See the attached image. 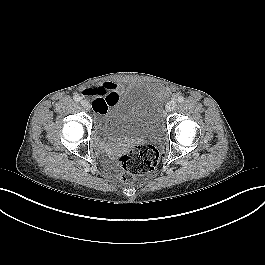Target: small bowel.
<instances>
[{"label":"small bowel","instance_id":"1","mask_svg":"<svg viewBox=\"0 0 265 265\" xmlns=\"http://www.w3.org/2000/svg\"><path fill=\"white\" fill-rule=\"evenodd\" d=\"M124 90V86L112 81H106L98 86H87L83 90V95L93 99V109L98 114H104L107 112L109 106H111L121 95ZM161 96H165V92L161 91Z\"/></svg>","mask_w":265,"mask_h":265}]
</instances>
